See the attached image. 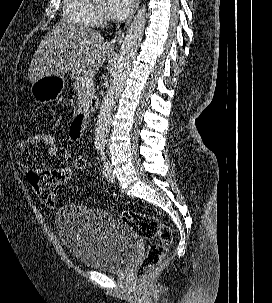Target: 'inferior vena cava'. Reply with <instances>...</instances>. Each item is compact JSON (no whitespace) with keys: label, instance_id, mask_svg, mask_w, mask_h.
<instances>
[{"label":"inferior vena cava","instance_id":"inferior-vena-cava-1","mask_svg":"<svg viewBox=\"0 0 272 303\" xmlns=\"http://www.w3.org/2000/svg\"><path fill=\"white\" fill-rule=\"evenodd\" d=\"M107 25V22L104 21L103 24H102V27H105Z\"/></svg>","mask_w":272,"mask_h":303}]
</instances>
